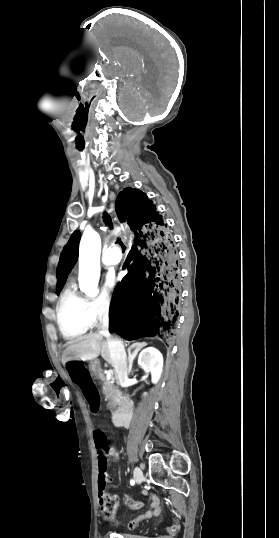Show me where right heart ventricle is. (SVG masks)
<instances>
[{
  "label": "right heart ventricle",
  "instance_id": "1",
  "mask_svg": "<svg viewBox=\"0 0 279 538\" xmlns=\"http://www.w3.org/2000/svg\"><path fill=\"white\" fill-rule=\"evenodd\" d=\"M94 233L85 228L83 234ZM90 298L78 292L73 280H70L56 307L57 324L64 338L80 337L93 326L90 315Z\"/></svg>",
  "mask_w": 279,
  "mask_h": 538
}]
</instances>
